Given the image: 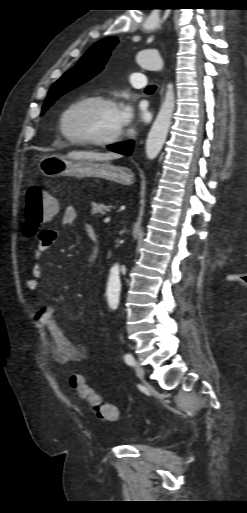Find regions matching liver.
I'll return each mask as SVG.
<instances>
[{"label": "liver", "instance_id": "6515ba94", "mask_svg": "<svg viewBox=\"0 0 247 513\" xmlns=\"http://www.w3.org/2000/svg\"><path fill=\"white\" fill-rule=\"evenodd\" d=\"M69 158L83 159V160H97L107 161L119 158V154L113 152H94V151H74L68 153Z\"/></svg>", "mask_w": 247, "mask_h": 513}]
</instances>
